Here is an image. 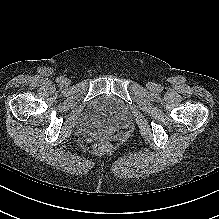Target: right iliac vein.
<instances>
[{"mask_svg":"<svg viewBox=\"0 0 219 219\" xmlns=\"http://www.w3.org/2000/svg\"><path fill=\"white\" fill-rule=\"evenodd\" d=\"M70 84V80L67 78H63L61 81L62 86H68Z\"/></svg>","mask_w":219,"mask_h":219,"instance_id":"right-iliac-vein-1","label":"right iliac vein"}]
</instances>
